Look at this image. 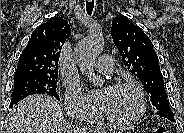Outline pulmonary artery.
Wrapping results in <instances>:
<instances>
[{
  "label": "pulmonary artery",
  "instance_id": "pulmonary-artery-1",
  "mask_svg": "<svg viewBox=\"0 0 184 133\" xmlns=\"http://www.w3.org/2000/svg\"><path fill=\"white\" fill-rule=\"evenodd\" d=\"M95 68L98 72L103 74L111 73L114 68L112 56L108 54L101 55L95 63Z\"/></svg>",
  "mask_w": 184,
  "mask_h": 133
}]
</instances>
